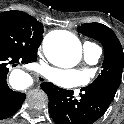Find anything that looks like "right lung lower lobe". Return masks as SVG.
I'll return each mask as SVG.
<instances>
[{
  "mask_svg": "<svg viewBox=\"0 0 124 124\" xmlns=\"http://www.w3.org/2000/svg\"><path fill=\"white\" fill-rule=\"evenodd\" d=\"M35 60L36 57L29 58L0 48V120L15 114L26 98V94L15 92L9 88L6 81L9 69L20 63H30Z\"/></svg>",
  "mask_w": 124,
  "mask_h": 124,
  "instance_id": "1",
  "label": "right lung lower lobe"
}]
</instances>
